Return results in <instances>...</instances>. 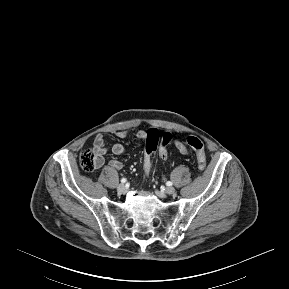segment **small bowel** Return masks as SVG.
<instances>
[{"label": "small bowel", "instance_id": "obj_1", "mask_svg": "<svg viewBox=\"0 0 289 289\" xmlns=\"http://www.w3.org/2000/svg\"><path fill=\"white\" fill-rule=\"evenodd\" d=\"M146 135H147V132H145V131H138L135 134L136 138L142 139V140H144L146 138ZM116 136L119 138H125L127 136V133L124 131H119L116 133ZM175 147L183 155H186L188 153L186 146L180 140L175 141ZM93 149H94V152L98 158L97 168H99L104 163V155L108 151L102 135H97L94 138ZM110 151L114 155H123L125 153L126 149H125V146L123 144L115 143L111 146ZM109 165H110V167L117 169V170L121 169L123 166L121 161L115 160V159L111 160L109 162Z\"/></svg>", "mask_w": 289, "mask_h": 289}]
</instances>
